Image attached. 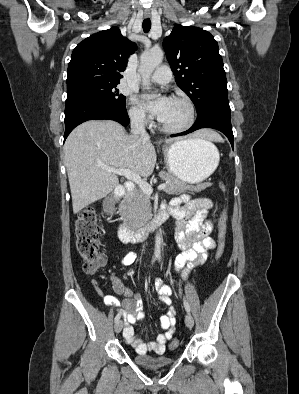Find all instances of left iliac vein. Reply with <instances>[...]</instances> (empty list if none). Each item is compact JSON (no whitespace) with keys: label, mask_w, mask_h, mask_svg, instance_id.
Segmentation results:
<instances>
[{"label":"left iliac vein","mask_w":299,"mask_h":394,"mask_svg":"<svg viewBox=\"0 0 299 394\" xmlns=\"http://www.w3.org/2000/svg\"><path fill=\"white\" fill-rule=\"evenodd\" d=\"M185 324L187 327L192 328L194 325L193 317L190 314L185 316Z\"/></svg>","instance_id":"4c4485c4"}]
</instances>
